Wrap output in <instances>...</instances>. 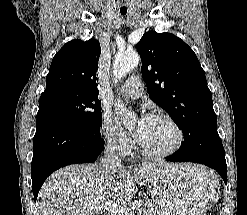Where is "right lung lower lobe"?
Returning <instances> with one entry per match:
<instances>
[{"label":"right lung lower lobe","instance_id":"1","mask_svg":"<svg viewBox=\"0 0 247 215\" xmlns=\"http://www.w3.org/2000/svg\"><path fill=\"white\" fill-rule=\"evenodd\" d=\"M103 147L100 132L54 116L37 117L31 164L35 200L52 172L70 164L93 162Z\"/></svg>","mask_w":247,"mask_h":215}]
</instances>
